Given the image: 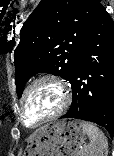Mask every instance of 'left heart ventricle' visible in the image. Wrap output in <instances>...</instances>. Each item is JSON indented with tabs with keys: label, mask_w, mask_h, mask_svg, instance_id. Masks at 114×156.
Segmentation results:
<instances>
[{
	"label": "left heart ventricle",
	"mask_w": 114,
	"mask_h": 156,
	"mask_svg": "<svg viewBox=\"0 0 114 156\" xmlns=\"http://www.w3.org/2000/svg\"><path fill=\"white\" fill-rule=\"evenodd\" d=\"M58 88L50 82L36 85L24 101V113L29 125L53 113L60 105Z\"/></svg>",
	"instance_id": "1"
}]
</instances>
